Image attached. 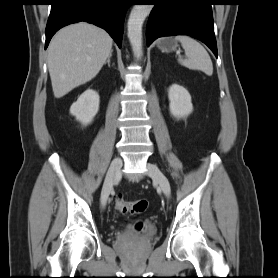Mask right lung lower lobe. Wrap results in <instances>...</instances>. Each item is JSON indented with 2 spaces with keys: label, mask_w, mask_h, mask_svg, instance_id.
<instances>
[{
  "label": "right lung lower lobe",
  "mask_w": 278,
  "mask_h": 278,
  "mask_svg": "<svg viewBox=\"0 0 278 278\" xmlns=\"http://www.w3.org/2000/svg\"><path fill=\"white\" fill-rule=\"evenodd\" d=\"M132 0H52L46 26L47 48L60 28L86 21L105 29L121 47L125 12Z\"/></svg>",
  "instance_id": "98d812e1"
}]
</instances>
